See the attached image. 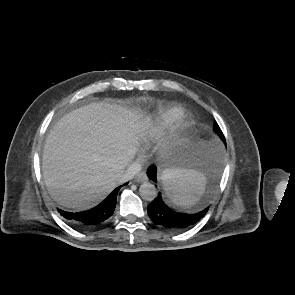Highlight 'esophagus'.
Wrapping results in <instances>:
<instances>
[{"label":"esophagus","mask_w":295,"mask_h":295,"mask_svg":"<svg viewBox=\"0 0 295 295\" xmlns=\"http://www.w3.org/2000/svg\"><path fill=\"white\" fill-rule=\"evenodd\" d=\"M135 180H136L137 182H143V181L148 180V177H147V175H146L145 172H141V173H139V174L135 177Z\"/></svg>","instance_id":"34e87169"}]
</instances>
